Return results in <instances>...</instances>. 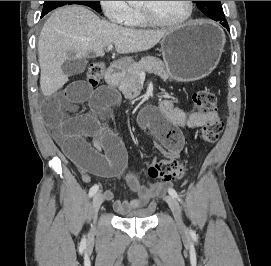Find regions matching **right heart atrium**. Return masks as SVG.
<instances>
[{
    "mask_svg": "<svg viewBox=\"0 0 271 266\" xmlns=\"http://www.w3.org/2000/svg\"><path fill=\"white\" fill-rule=\"evenodd\" d=\"M100 6L108 19L113 24H127L132 8L126 1H99Z\"/></svg>",
    "mask_w": 271,
    "mask_h": 266,
    "instance_id": "d8ad5b80",
    "label": "right heart atrium"
}]
</instances>
